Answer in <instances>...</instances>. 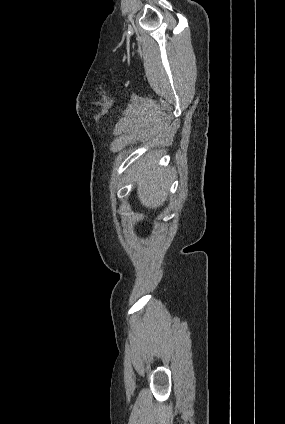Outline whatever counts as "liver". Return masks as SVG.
Segmentation results:
<instances>
[{"label": "liver", "instance_id": "liver-1", "mask_svg": "<svg viewBox=\"0 0 285 424\" xmlns=\"http://www.w3.org/2000/svg\"><path fill=\"white\" fill-rule=\"evenodd\" d=\"M159 156L160 153H154L136 165L138 199L152 209L162 206L168 196V172L155 166Z\"/></svg>", "mask_w": 285, "mask_h": 424}]
</instances>
